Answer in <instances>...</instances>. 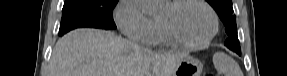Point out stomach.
I'll return each instance as SVG.
<instances>
[{
	"label": "stomach",
	"mask_w": 287,
	"mask_h": 76,
	"mask_svg": "<svg viewBox=\"0 0 287 76\" xmlns=\"http://www.w3.org/2000/svg\"><path fill=\"white\" fill-rule=\"evenodd\" d=\"M202 69L203 65L198 59L187 56L177 65L173 76H200Z\"/></svg>",
	"instance_id": "0dacf381"
}]
</instances>
